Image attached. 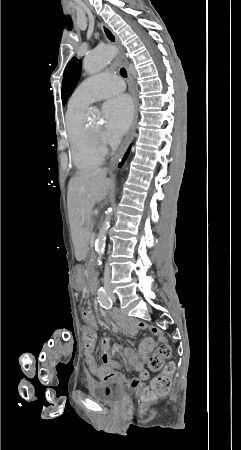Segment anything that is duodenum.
<instances>
[{"mask_svg":"<svg viewBox=\"0 0 241 450\" xmlns=\"http://www.w3.org/2000/svg\"><path fill=\"white\" fill-rule=\"evenodd\" d=\"M89 274H90V290L92 292H95L98 288V279L96 277L95 269H94L93 265H91L89 267Z\"/></svg>","mask_w":241,"mask_h":450,"instance_id":"obj_1","label":"duodenum"}]
</instances>
